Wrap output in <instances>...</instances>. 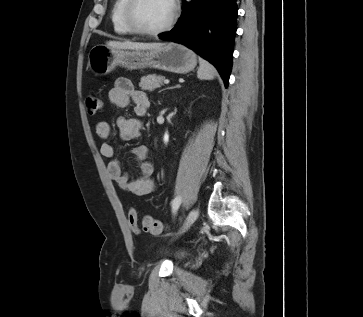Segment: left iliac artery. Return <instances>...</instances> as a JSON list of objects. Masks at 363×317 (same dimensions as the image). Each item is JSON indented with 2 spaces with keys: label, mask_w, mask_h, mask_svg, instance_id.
<instances>
[{
  "label": "left iliac artery",
  "mask_w": 363,
  "mask_h": 317,
  "mask_svg": "<svg viewBox=\"0 0 363 317\" xmlns=\"http://www.w3.org/2000/svg\"><path fill=\"white\" fill-rule=\"evenodd\" d=\"M181 200H182L181 197H176L172 201V211H173V213H175L178 210V208H179V206L181 204Z\"/></svg>",
  "instance_id": "1"
}]
</instances>
